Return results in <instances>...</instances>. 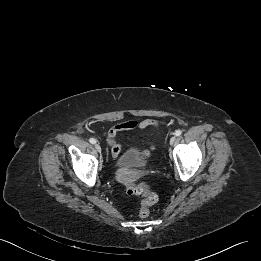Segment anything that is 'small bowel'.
Listing matches in <instances>:
<instances>
[{
	"label": "small bowel",
	"instance_id": "c3829d8e",
	"mask_svg": "<svg viewBox=\"0 0 261 261\" xmlns=\"http://www.w3.org/2000/svg\"><path fill=\"white\" fill-rule=\"evenodd\" d=\"M160 127L161 122L154 119H143L141 121L130 120L114 125L105 133L107 142L111 147L112 157L116 159L122 149L121 143L116 141L117 136L121 132L135 129L142 130L147 128H154L156 130H159Z\"/></svg>",
	"mask_w": 261,
	"mask_h": 261
}]
</instances>
